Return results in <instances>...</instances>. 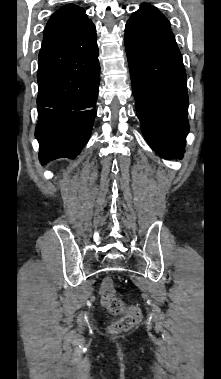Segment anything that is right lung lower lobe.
<instances>
[{
  "label": "right lung lower lobe",
  "instance_id": "obj_1",
  "mask_svg": "<svg viewBox=\"0 0 221 379\" xmlns=\"http://www.w3.org/2000/svg\"><path fill=\"white\" fill-rule=\"evenodd\" d=\"M37 79L40 162L73 159L87 143L96 115L100 64L91 21L76 34L41 48Z\"/></svg>",
  "mask_w": 221,
  "mask_h": 379
}]
</instances>
